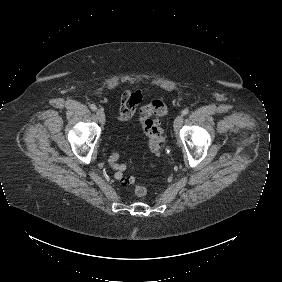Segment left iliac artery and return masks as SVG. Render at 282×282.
<instances>
[{
	"instance_id": "44dca946",
	"label": "left iliac artery",
	"mask_w": 282,
	"mask_h": 282,
	"mask_svg": "<svg viewBox=\"0 0 282 282\" xmlns=\"http://www.w3.org/2000/svg\"><path fill=\"white\" fill-rule=\"evenodd\" d=\"M189 113V109L188 108H186V109H184L182 112H181V114L184 116V115H187Z\"/></svg>"
}]
</instances>
